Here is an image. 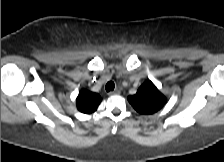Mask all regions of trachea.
I'll return each instance as SVG.
<instances>
[{
    "mask_svg": "<svg viewBox=\"0 0 224 162\" xmlns=\"http://www.w3.org/2000/svg\"><path fill=\"white\" fill-rule=\"evenodd\" d=\"M114 88H115V84H114V82H112V81H109V82L106 84V86H105V89H106L107 92H109V91H113Z\"/></svg>",
    "mask_w": 224,
    "mask_h": 162,
    "instance_id": "3493384b",
    "label": "trachea"
}]
</instances>
